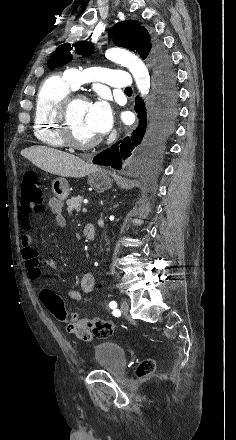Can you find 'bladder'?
<instances>
[{"mask_svg":"<svg viewBox=\"0 0 236 440\" xmlns=\"http://www.w3.org/2000/svg\"><path fill=\"white\" fill-rule=\"evenodd\" d=\"M94 363L101 371L119 374L126 366L125 350L114 342H105L95 346Z\"/></svg>","mask_w":236,"mask_h":440,"instance_id":"bladder-1","label":"bladder"}]
</instances>
